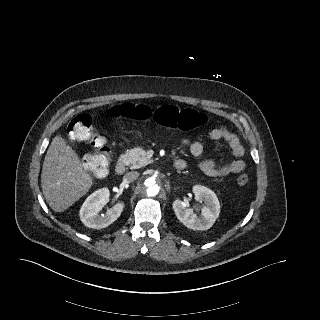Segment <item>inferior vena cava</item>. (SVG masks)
<instances>
[{"instance_id": "1", "label": "inferior vena cava", "mask_w": 320, "mask_h": 320, "mask_svg": "<svg viewBox=\"0 0 320 320\" xmlns=\"http://www.w3.org/2000/svg\"><path fill=\"white\" fill-rule=\"evenodd\" d=\"M139 177V173L136 171L129 172L124 175V180L127 182H132Z\"/></svg>"}]
</instances>
